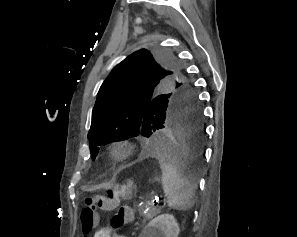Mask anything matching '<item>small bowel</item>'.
Segmentation results:
<instances>
[{
	"mask_svg": "<svg viewBox=\"0 0 297 237\" xmlns=\"http://www.w3.org/2000/svg\"><path fill=\"white\" fill-rule=\"evenodd\" d=\"M94 237H126L125 235L115 232L111 228H104L99 230Z\"/></svg>",
	"mask_w": 297,
	"mask_h": 237,
	"instance_id": "1",
	"label": "small bowel"
}]
</instances>
